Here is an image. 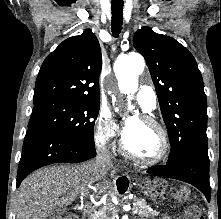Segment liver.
Wrapping results in <instances>:
<instances>
[{"label":"liver","mask_w":221,"mask_h":219,"mask_svg":"<svg viewBox=\"0 0 221 219\" xmlns=\"http://www.w3.org/2000/svg\"><path fill=\"white\" fill-rule=\"evenodd\" d=\"M106 172L94 161L35 171L22 181L17 191L16 219H46L51 211L72 204L79 194L84 195L93 187L97 196L101 195L107 190L105 181L97 182Z\"/></svg>","instance_id":"obj_1"}]
</instances>
